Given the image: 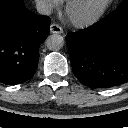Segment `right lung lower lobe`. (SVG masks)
Masks as SVG:
<instances>
[{
	"instance_id": "obj_1",
	"label": "right lung lower lobe",
	"mask_w": 128,
	"mask_h": 128,
	"mask_svg": "<svg viewBox=\"0 0 128 128\" xmlns=\"http://www.w3.org/2000/svg\"><path fill=\"white\" fill-rule=\"evenodd\" d=\"M50 18L26 9L22 0H0V82L27 81L36 71L39 46L49 33Z\"/></svg>"
}]
</instances>
